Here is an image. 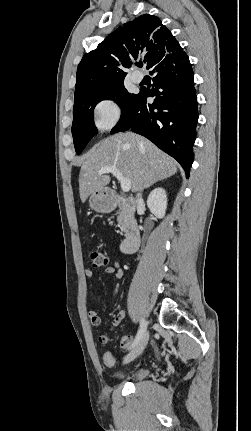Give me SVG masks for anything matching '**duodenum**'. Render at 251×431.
Returning a JSON list of instances; mask_svg holds the SVG:
<instances>
[{
    "label": "duodenum",
    "mask_w": 251,
    "mask_h": 431,
    "mask_svg": "<svg viewBox=\"0 0 251 431\" xmlns=\"http://www.w3.org/2000/svg\"><path fill=\"white\" fill-rule=\"evenodd\" d=\"M113 204L126 211L125 235L120 243V250L126 254L133 253L140 244V229L136 219L137 203L132 197L115 196Z\"/></svg>",
    "instance_id": "1"
}]
</instances>
